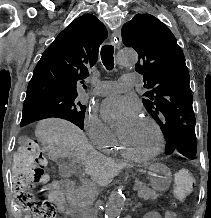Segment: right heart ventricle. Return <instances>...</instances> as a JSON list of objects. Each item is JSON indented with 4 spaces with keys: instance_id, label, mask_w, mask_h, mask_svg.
<instances>
[{
    "instance_id": "e07e8e85",
    "label": "right heart ventricle",
    "mask_w": 211,
    "mask_h": 218,
    "mask_svg": "<svg viewBox=\"0 0 211 218\" xmlns=\"http://www.w3.org/2000/svg\"><path fill=\"white\" fill-rule=\"evenodd\" d=\"M101 149H102V151L104 153H107V154L116 155V154H120L121 153L119 151V148H118V143H117V141L115 139L110 144L102 147Z\"/></svg>"
}]
</instances>
